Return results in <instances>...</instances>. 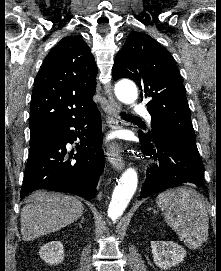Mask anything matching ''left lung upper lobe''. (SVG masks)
Listing matches in <instances>:
<instances>
[{"mask_svg":"<svg viewBox=\"0 0 221 271\" xmlns=\"http://www.w3.org/2000/svg\"><path fill=\"white\" fill-rule=\"evenodd\" d=\"M114 80L132 79L149 98L147 110L153 125L171 130L196 144L185 87L172 55L152 37L131 33L117 54L112 69Z\"/></svg>","mask_w":221,"mask_h":271,"instance_id":"left-lung-upper-lobe-1","label":"left lung upper lobe"}]
</instances>
